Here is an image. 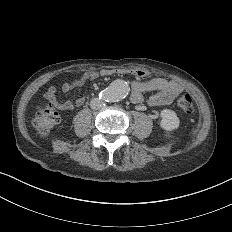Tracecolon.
<instances>
[{
	"mask_svg": "<svg viewBox=\"0 0 232 232\" xmlns=\"http://www.w3.org/2000/svg\"><path fill=\"white\" fill-rule=\"evenodd\" d=\"M176 99L179 102V111L183 114H194L195 102L189 94H176ZM44 101H53V96H44ZM41 112H38V120H30V125H38L36 130L37 137H46L49 133L48 129H56L58 121H60L59 112L56 108H45V104H40Z\"/></svg>",
	"mask_w": 232,
	"mask_h": 232,
	"instance_id": "obj_1",
	"label": "colon"
}]
</instances>
